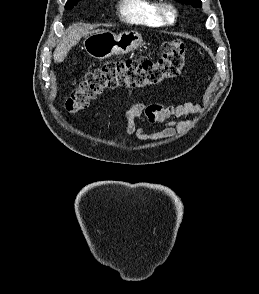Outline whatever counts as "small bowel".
<instances>
[{
	"mask_svg": "<svg viewBox=\"0 0 259 294\" xmlns=\"http://www.w3.org/2000/svg\"><path fill=\"white\" fill-rule=\"evenodd\" d=\"M202 108L199 104L186 102L179 105H164L160 102L147 104L143 100H136L132 105L124 112L122 119L124 122V129L127 134L136 131L139 138H165L187 131L191 126L190 120L174 121L171 120L174 117H183L200 113ZM113 110L99 111L94 115V118H98L103 114H113ZM145 115L150 123H165L162 130L148 135L144 132L143 128H135L134 118Z\"/></svg>",
	"mask_w": 259,
	"mask_h": 294,
	"instance_id": "c3829d8e",
	"label": "small bowel"
}]
</instances>
